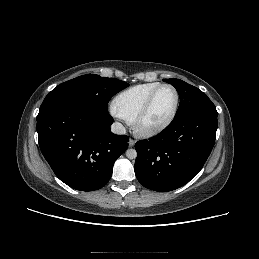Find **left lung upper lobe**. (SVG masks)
<instances>
[{"instance_id": "left-lung-upper-lobe-1", "label": "left lung upper lobe", "mask_w": 259, "mask_h": 259, "mask_svg": "<svg viewBox=\"0 0 259 259\" xmlns=\"http://www.w3.org/2000/svg\"><path fill=\"white\" fill-rule=\"evenodd\" d=\"M163 81L172 84L179 93L180 104L175 117L194 111L217 113L212 101L198 88L180 79H163Z\"/></svg>"}]
</instances>
